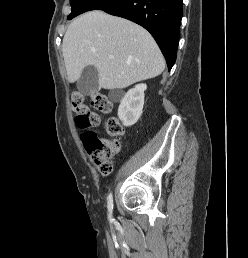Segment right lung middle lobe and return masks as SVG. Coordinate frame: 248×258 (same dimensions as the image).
Wrapping results in <instances>:
<instances>
[{"instance_id":"right-lung-middle-lobe-1","label":"right lung middle lobe","mask_w":248,"mask_h":258,"mask_svg":"<svg viewBox=\"0 0 248 258\" xmlns=\"http://www.w3.org/2000/svg\"><path fill=\"white\" fill-rule=\"evenodd\" d=\"M112 0H70L71 13L68 16V20L82 14L86 11L99 9L100 7L110 3Z\"/></svg>"}]
</instances>
